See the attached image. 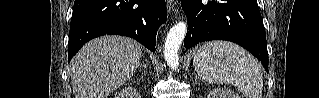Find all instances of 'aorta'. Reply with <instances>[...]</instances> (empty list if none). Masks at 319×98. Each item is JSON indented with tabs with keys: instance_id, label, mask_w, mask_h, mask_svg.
<instances>
[{
	"instance_id": "obj_1",
	"label": "aorta",
	"mask_w": 319,
	"mask_h": 98,
	"mask_svg": "<svg viewBox=\"0 0 319 98\" xmlns=\"http://www.w3.org/2000/svg\"><path fill=\"white\" fill-rule=\"evenodd\" d=\"M187 31V24L185 22H178L169 31L165 46L164 57L168 66L176 69L179 65L178 51L184 40Z\"/></svg>"
}]
</instances>
